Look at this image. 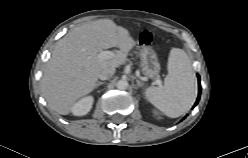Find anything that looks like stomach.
<instances>
[{
    "label": "stomach",
    "mask_w": 248,
    "mask_h": 158,
    "mask_svg": "<svg viewBox=\"0 0 248 158\" xmlns=\"http://www.w3.org/2000/svg\"><path fill=\"white\" fill-rule=\"evenodd\" d=\"M140 59L142 73L151 79L156 78L161 68L155 51L150 47H143L140 52Z\"/></svg>",
    "instance_id": "stomach-1"
}]
</instances>
